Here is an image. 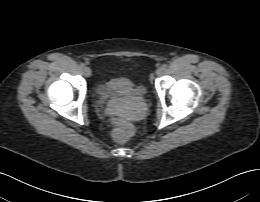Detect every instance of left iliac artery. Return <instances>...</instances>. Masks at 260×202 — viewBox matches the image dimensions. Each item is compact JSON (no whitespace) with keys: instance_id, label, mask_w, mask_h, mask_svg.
<instances>
[{"instance_id":"obj_1","label":"left iliac artery","mask_w":260,"mask_h":202,"mask_svg":"<svg viewBox=\"0 0 260 202\" xmlns=\"http://www.w3.org/2000/svg\"><path fill=\"white\" fill-rule=\"evenodd\" d=\"M161 67H162L163 70H165L167 68V65L163 64Z\"/></svg>"}]
</instances>
